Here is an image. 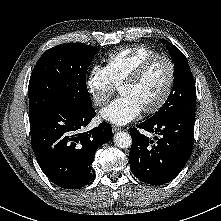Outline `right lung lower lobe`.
<instances>
[{
    "mask_svg": "<svg viewBox=\"0 0 221 221\" xmlns=\"http://www.w3.org/2000/svg\"><path fill=\"white\" fill-rule=\"evenodd\" d=\"M95 116L94 108L76 110L52 105L30 118L31 144L44 174L56 185L78 189L95 176V151L112 138L107 122L82 132Z\"/></svg>",
    "mask_w": 221,
    "mask_h": 221,
    "instance_id": "98d812e1",
    "label": "right lung lower lobe"
}]
</instances>
